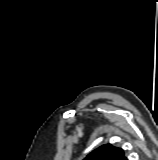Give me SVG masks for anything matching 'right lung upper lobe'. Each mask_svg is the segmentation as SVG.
<instances>
[{
    "label": "right lung upper lobe",
    "mask_w": 158,
    "mask_h": 160,
    "mask_svg": "<svg viewBox=\"0 0 158 160\" xmlns=\"http://www.w3.org/2000/svg\"><path fill=\"white\" fill-rule=\"evenodd\" d=\"M84 160H127L121 148L105 144L92 151Z\"/></svg>",
    "instance_id": "obj_1"
}]
</instances>
